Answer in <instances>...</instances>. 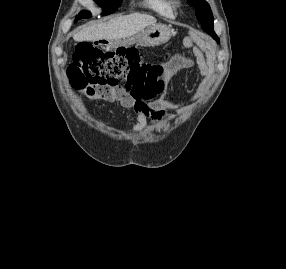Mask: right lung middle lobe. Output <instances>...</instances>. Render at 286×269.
<instances>
[{
  "label": "right lung middle lobe",
  "instance_id": "dd1d6c3e",
  "mask_svg": "<svg viewBox=\"0 0 286 269\" xmlns=\"http://www.w3.org/2000/svg\"><path fill=\"white\" fill-rule=\"evenodd\" d=\"M95 1L103 8V15H108L113 13L122 2V0H95ZM89 17H91L89 12L81 11L79 15L76 16V20Z\"/></svg>",
  "mask_w": 286,
  "mask_h": 269
}]
</instances>
